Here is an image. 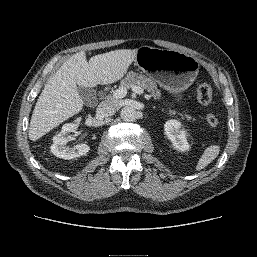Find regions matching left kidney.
<instances>
[{
    "instance_id": "5707ae66",
    "label": "left kidney",
    "mask_w": 257,
    "mask_h": 257,
    "mask_svg": "<svg viewBox=\"0 0 257 257\" xmlns=\"http://www.w3.org/2000/svg\"><path fill=\"white\" fill-rule=\"evenodd\" d=\"M167 138L172 142L173 146L181 151L189 149L186 132L181 129V123L177 120H168L164 125Z\"/></svg>"
}]
</instances>
